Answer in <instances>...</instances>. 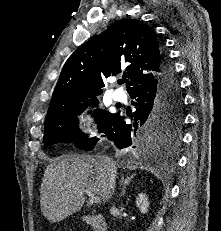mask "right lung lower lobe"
Wrapping results in <instances>:
<instances>
[{"label":"right lung lower lobe","instance_id":"obj_1","mask_svg":"<svg viewBox=\"0 0 221 231\" xmlns=\"http://www.w3.org/2000/svg\"><path fill=\"white\" fill-rule=\"evenodd\" d=\"M132 98L136 99L134 104L137 110L134 112L132 125H127L124 116L114 114L107 124L103 133L107 138L114 142L118 148H129L134 150L138 155L151 158L162 155L165 145L150 140L145 135L142 128L148 122L150 115L156 105L157 100L162 95H168L173 99L180 100L182 103V95L175 70L167 54L162 49L161 56V74L152 84L136 89L129 93ZM98 139H89L81 146L82 150H92Z\"/></svg>","mask_w":221,"mask_h":231}]
</instances>
